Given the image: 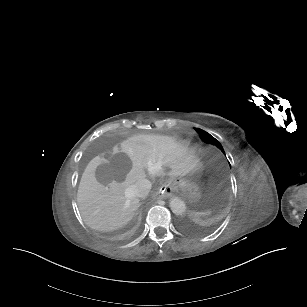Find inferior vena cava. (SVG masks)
Segmentation results:
<instances>
[{"label": "inferior vena cava", "instance_id": "obj_1", "mask_svg": "<svg viewBox=\"0 0 307 307\" xmlns=\"http://www.w3.org/2000/svg\"><path fill=\"white\" fill-rule=\"evenodd\" d=\"M151 182L147 179H140L133 186V191L137 197H146L151 189Z\"/></svg>", "mask_w": 307, "mask_h": 307}]
</instances>
